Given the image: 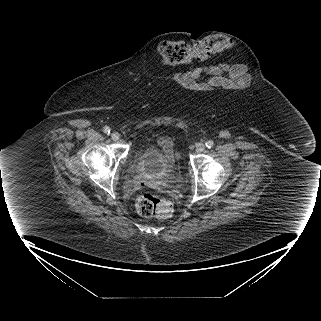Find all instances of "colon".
Instances as JSON below:
<instances>
[{
  "label": "colon",
  "mask_w": 321,
  "mask_h": 321,
  "mask_svg": "<svg viewBox=\"0 0 321 321\" xmlns=\"http://www.w3.org/2000/svg\"><path fill=\"white\" fill-rule=\"evenodd\" d=\"M230 44V39L225 36L208 37L195 44L167 41L159 46V53L166 65L177 66L206 60L211 55L228 49ZM136 209L142 217L166 219L173 213V204L167 199L144 193L137 198Z\"/></svg>",
  "instance_id": "1"
}]
</instances>
